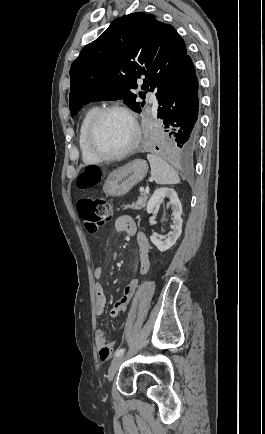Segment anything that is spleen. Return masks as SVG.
<instances>
[{
	"label": "spleen",
	"instance_id": "3e777b00",
	"mask_svg": "<svg viewBox=\"0 0 265 434\" xmlns=\"http://www.w3.org/2000/svg\"><path fill=\"white\" fill-rule=\"evenodd\" d=\"M147 160L151 168V178L156 184H179L180 178L177 172L165 160L154 154H148Z\"/></svg>",
	"mask_w": 265,
	"mask_h": 434
}]
</instances>
